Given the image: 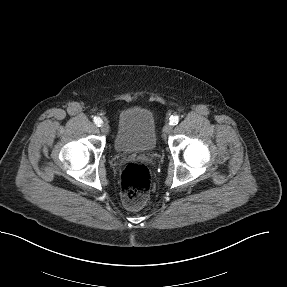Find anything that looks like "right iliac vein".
Segmentation results:
<instances>
[{
  "instance_id": "obj_1",
  "label": "right iliac vein",
  "mask_w": 287,
  "mask_h": 287,
  "mask_svg": "<svg viewBox=\"0 0 287 287\" xmlns=\"http://www.w3.org/2000/svg\"><path fill=\"white\" fill-rule=\"evenodd\" d=\"M101 131L105 134L109 132V125L107 123H102L101 125Z\"/></svg>"
}]
</instances>
